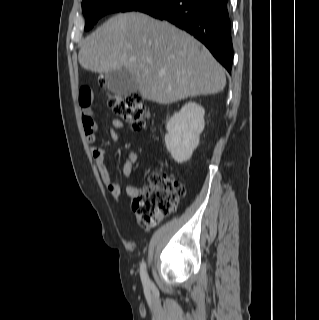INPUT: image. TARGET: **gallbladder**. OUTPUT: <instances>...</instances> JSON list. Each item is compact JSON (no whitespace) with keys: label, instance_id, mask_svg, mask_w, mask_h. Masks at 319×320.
<instances>
[{"label":"gallbladder","instance_id":"gallbladder-1","mask_svg":"<svg viewBox=\"0 0 319 320\" xmlns=\"http://www.w3.org/2000/svg\"><path fill=\"white\" fill-rule=\"evenodd\" d=\"M105 86L110 92L121 96L138 91L135 78L124 68L108 73L105 77Z\"/></svg>","mask_w":319,"mask_h":320}]
</instances>
